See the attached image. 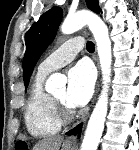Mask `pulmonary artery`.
Listing matches in <instances>:
<instances>
[{"instance_id":"1","label":"pulmonary artery","mask_w":139,"mask_h":150,"mask_svg":"<svg viewBox=\"0 0 139 150\" xmlns=\"http://www.w3.org/2000/svg\"><path fill=\"white\" fill-rule=\"evenodd\" d=\"M84 44L81 37H75L66 41L56 51L43 60L37 71V75L46 76L54 70H57L70 63L82 50Z\"/></svg>"}]
</instances>
